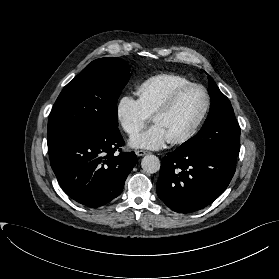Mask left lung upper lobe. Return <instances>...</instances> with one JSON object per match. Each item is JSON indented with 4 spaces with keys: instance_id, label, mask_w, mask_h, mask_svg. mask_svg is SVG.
<instances>
[{
    "instance_id": "5c2ea615",
    "label": "left lung upper lobe",
    "mask_w": 279,
    "mask_h": 279,
    "mask_svg": "<svg viewBox=\"0 0 279 279\" xmlns=\"http://www.w3.org/2000/svg\"><path fill=\"white\" fill-rule=\"evenodd\" d=\"M210 78L211 106L201 130L177 149L192 153L202 150H217L237 157L240 150V127L228 98Z\"/></svg>"
}]
</instances>
